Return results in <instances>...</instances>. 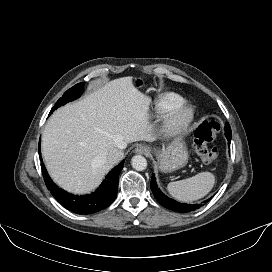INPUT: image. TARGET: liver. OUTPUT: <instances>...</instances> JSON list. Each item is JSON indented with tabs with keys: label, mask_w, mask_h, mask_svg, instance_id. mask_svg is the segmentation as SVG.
<instances>
[{
	"label": "liver",
	"mask_w": 272,
	"mask_h": 272,
	"mask_svg": "<svg viewBox=\"0 0 272 272\" xmlns=\"http://www.w3.org/2000/svg\"><path fill=\"white\" fill-rule=\"evenodd\" d=\"M150 104L133 78L123 77L56 110L42 135V155L52 179L72 193L95 189L113 167L103 161L107 151L156 139L149 125Z\"/></svg>",
	"instance_id": "1"
}]
</instances>
